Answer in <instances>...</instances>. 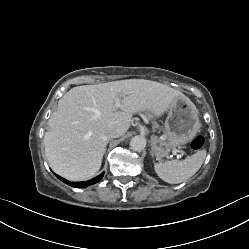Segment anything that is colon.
I'll return each instance as SVG.
<instances>
[{
    "label": "colon",
    "instance_id": "colon-1",
    "mask_svg": "<svg viewBox=\"0 0 249 249\" xmlns=\"http://www.w3.org/2000/svg\"><path fill=\"white\" fill-rule=\"evenodd\" d=\"M204 143H205L204 137L202 135H197L192 140L190 147L192 150L198 151L202 149V147L204 146Z\"/></svg>",
    "mask_w": 249,
    "mask_h": 249
}]
</instances>
